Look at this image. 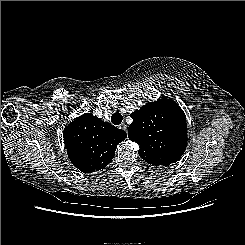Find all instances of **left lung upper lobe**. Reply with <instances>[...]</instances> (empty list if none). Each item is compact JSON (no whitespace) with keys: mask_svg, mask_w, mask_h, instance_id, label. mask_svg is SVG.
Instances as JSON below:
<instances>
[{"mask_svg":"<svg viewBox=\"0 0 245 245\" xmlns=\"http://www.w3.org/2000/svg\"><path fill=\"white\" fill-rule=\"evenodd\" d=\"M128 138L139 145V156L148 164L168 166L177 162L187 146V123L182 109L163 96L130 115Z\"/></svg>","mask_w":245,"mask_h":245,"instance_id":"5c2ea615","label":"left lung upper lobe"}]
</instances>
